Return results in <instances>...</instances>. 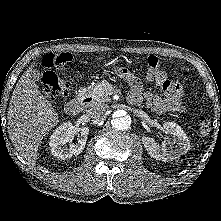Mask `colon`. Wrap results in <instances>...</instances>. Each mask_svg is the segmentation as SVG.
I'll list each match as a JSON object with an SVG mask.
<instances>
[{
    "label": "colon",
    "instance_id": "obj_1",
    "mask_svg": "<svg viewBox=\"0 0 221 221\" xmlns=\"http://www.w3.org/2000/svg\"><path fill=\"white\" fill-rule=\"evenodd\" d=\"M71 61L72 55L67 52L59 54L49 53L43 58L42 65L45 68V72L42 76V91L49 99L61 100L68 94L70 89L69 79L59 78L54 70H67ZM147 63L148 78L161 85H165L167 83V76L160 70V59L152 55L148 57ZM198 130L203 135L211 131V121L206 115H201L198 118Z\"/></svg>",
    "mask_w": 221,
    "mask_h": 221
}]
</instances>
